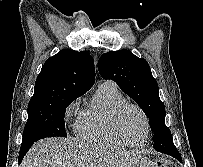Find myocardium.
I'll return each instance as SVG.
<instances>
[{"mask_svg":"<svg viewBox=\"0 0 203 167\" xmlns=\"http://www.w3.org/2000/svg\"><path fill=\"white\" fill-rule=\"evenodd\" d=\"M128 108L136 109L141 114V116H142V118L144 120L145 135H144L143 140L140 141V142H137V143H133V142L128 141L122 135V133L120 132L119 127H118V121H119L120 116ZM109 127H110L111 132L113 133V135L117 139H119L122 143H124L125 145L130 146V147H141V146H143L147 142V140L149 138V134H150V120H149V117H148L147 113L138 104L128 102V101L122 102L114 110V112L112 113V115L110 117Z\"/></svg>","mask_w":203,"mask_h":167,"instance_id":"myocardium-1","label":"myocardium"}]
</instances>
